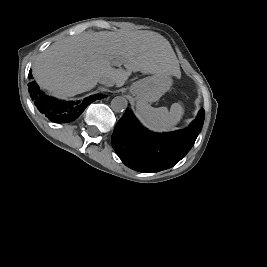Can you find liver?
Segmentation results:
<instances>
[{
    "label": "liver",
    "instance_id": "liver-1",
    "mask_svg": "<svg viewBox=\"0 0 267 267\" xmlns=\"http://www.w3.org/2000/svg\"><path fill=\"white\" fill-rule=\"evenodd\" d=\"M113 61L126 70L114 68ZM138 71L179 76V61L162 35L147 30L86 32L54 42L33 64L38 85L59 98L89 91L102 77L121 87Z\"/></svg>",
    "mask_w": 267,
    "mask_h": 267
}]
</instances>
